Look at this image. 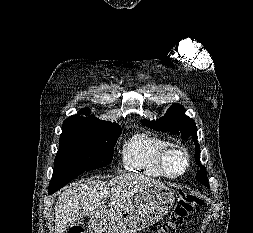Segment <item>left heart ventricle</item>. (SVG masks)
Here are the masks:
<instances>
[{
	"instance_id": "1",
	"label": "left heart ventricle",
	"mask_w": 253,
	"mask_h": 233,
	"mask_svg": "<svg viewBox=\"0 0 253 233\" xmlns=\"http://www.w3.org/2000/svg\"><path fill=\"white\" fill-rule=\"evenodd\" d=\"M182 166V159L180 157H175L171 163V168L174 171H177Z\"/></svg>"
}]
</instances>
